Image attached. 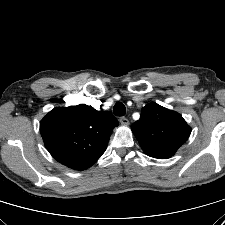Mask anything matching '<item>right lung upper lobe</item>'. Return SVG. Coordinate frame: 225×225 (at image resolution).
<instances>
[{"label":"right lung upper lobe","mask_w":225,"mask_h":225,"mask_svg":"<svg viewBox=\"0 0 225 225\" xmlns=\"http://www.w3.org/2000/svg\"><path fill=\"white\" fill-rule=\"evenodd\" d=\"M117 119L109 111L85 104L57 107L40 122V133L52 157L74 170H85L104 153Z\"/></svg>","instance_id":"1"}]
</instances>
